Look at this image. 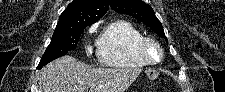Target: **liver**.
Listing matches in <instances>:
<instances>
[{"mask_svg": "<svg viewBox=\"0 0 225 92\" xmlns=\"http://www.w3.org/2000/svg\"><path fill=\"white\" fill-rule=\"evenodd\" d=\"M141 70L88 66L74 57L64 56L42 68L38 92H125Z\"/></svg>", "mask_w": 225, "mask_h": 92, "instance_id": "1", "label": "liver"}]
</instances>
